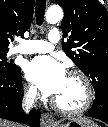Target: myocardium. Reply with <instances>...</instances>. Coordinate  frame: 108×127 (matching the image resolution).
Instances as JSON below:
<instances>
[{
  "mask_svg": "<svg viewBox=\"0 0 108 127\" xmlns=\"http://www.w3.org/2000/svg\"><path fill=\"white\" fill-rule=\"evenodd\" d=\"M68 75L77 78L83 86L84 99H83L82 104L77 107L68 108V107L62 106L55 98H53L51 100V104L57 111H59L63 114L77 115V114L84 113L93 104V101H94L93 86H92L89 78L87 77V75L84 72H82L81 70L73 69V70L69 71Z\"/></svg>",
  "mask_w": 108,
  "mask_h": 127,
  "instance_id": "obj_1",
  "label": "myocardium"
}]
</instances>
